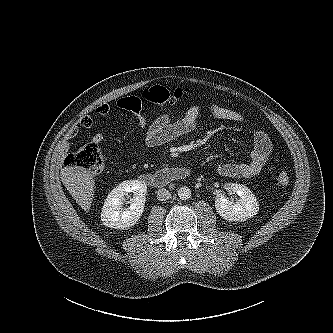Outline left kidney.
Here are the masks:
<instances>
[{"label":"left kidney","mask_w":333,"mask_h":333,"mask_svg":"<svg viewBox=\"0 0 333 333\" xmlns=\"http://www.w3.org/2000/svg\"><path fill=\"white\" fill-rule=\"evenodd\" d=\"M225 187L236 193L240 197V201H230L223 195L216 197L215 208L223 219L243 222L257 214L259 204L248 187L237 183H227Z\"/></svg>","instance_id":"obj_1"}]
</instances>
